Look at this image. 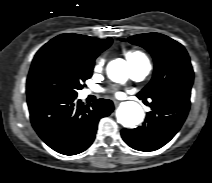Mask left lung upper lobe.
I'll list each match as a JSON object with an SVG mask.
<instances>
[{"label": "left lung upper lobe", "mask_w": 212, "mask_h": 183, "mask_svg": "<svg viewBox=\"0 0 212 183\" xmlns=\"http://www.w3.org/2000/svg\"><path fill=\"white\" fill-rule=\"evenodd\" d=\"M128 40L149 51L155 62L153 77L138 93L140 97L146 99L163 93L191 91L194 72L180 43L159 33L139 34Z\"/></svg>", "instance_id": "1"}]
</instances>
